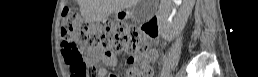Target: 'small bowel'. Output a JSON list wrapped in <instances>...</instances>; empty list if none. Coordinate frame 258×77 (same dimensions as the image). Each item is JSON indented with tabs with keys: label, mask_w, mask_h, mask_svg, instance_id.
Instances as JSON below:
<instances>
[{
	"label": "small bowel",
	"mask_w": 258,
	"mask_h": 77,
	"mask_svg": "<svg viewBox=\"0 0 258 77\" xmlns=\"http://www.w3.org/2000/svg\"><path fill=\"white\" fill-rule=\"evenodd\" d=\"M158 53L155 49H151L149 52V60L150 61H155L157 59ZM101 57V54L95 51H90L88 52V60L89 62H95L97 59H99ZM104 61H105V65L107 66H115L117 63V56L113 53H105L104 55H102ZM99 74H105V68L101 67L99 69ZM150 74V70L147 72V75Z\"/></svg>",
	"instance_id": "obj_1"
}]
</instances>
